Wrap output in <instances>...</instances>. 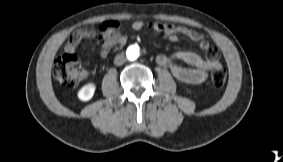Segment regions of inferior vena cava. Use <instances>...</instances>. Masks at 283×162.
Listing matches in <instances>:
<instances>
[{
	"instance_id": "obj_1",
	"label": "inferior vena cava",
	"mask_w": 283,
	"mask_h": 162,
	"mask_svg": "<svg viewBox=\"0 0 283 162\" xmlns=\"http://www.w3.org/2000/svg\"><path fill=\"white\" fill-rule=\"evenodd\" d=\"M126 62V57L123 54H119L114 59V64L120 66Z\"/></svg>"
}]
</instances>
